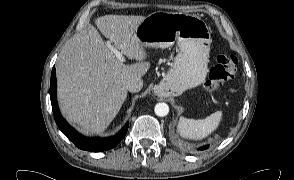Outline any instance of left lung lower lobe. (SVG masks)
Wrapping results in <instances>:
<instances>
[{"label":"left lung lower lobe","instance_id":"obj_1","mask_svg":"<svg viewBox=\"0 0 294 180\" xmlns=\"http://www.w3.org/2000/svg\"><path fill=\"white\" fill-rule=\"evenodd\" d=\"M208 148V145L207 146H203V147H201L200 149L201 150H204V149H207Z\"/></svg>","mask_w":294,"mask_h":180}]
</instances>
